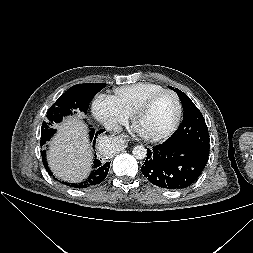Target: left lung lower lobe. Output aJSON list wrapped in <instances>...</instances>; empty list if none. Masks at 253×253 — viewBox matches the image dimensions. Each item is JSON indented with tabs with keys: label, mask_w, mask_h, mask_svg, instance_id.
Returning <instances> with one entry per match:
<instances>
[{
	"label": "left lung lower lobe",
	"mask_w": 253,
	"mask_h": 253,
	"mask_svg": "<svg viewBox=\"0 0 253 253\" xmlns=\"http://www.w3.org/2000/svg\"><path fill=\"white\" fill-rule=\"evenodd\" d=\"M142 173L152 184L183 189L193 184L205 168L209 153L194 146L165 142L147 149Z\"/></svg>",
	"instance_id": "obj_1"
}]
</instances>
